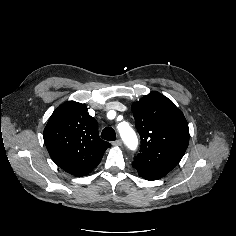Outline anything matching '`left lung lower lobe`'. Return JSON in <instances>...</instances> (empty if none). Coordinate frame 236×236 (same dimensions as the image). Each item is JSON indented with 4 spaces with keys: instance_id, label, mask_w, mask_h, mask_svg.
Masks as SVG:
<instances>
[{
    "instance_id": "obj_1",
    "label": "left lung lower lobe",
    "mask_w": 236,
    "mask_h": 236,
    "mask_svg": "<svg viewBox=\"0 0 236 236\" xmlns=\"http://www.w3.org/2000/svg\"><path fill=\"white\" fill-rule=\"evenodd\" d=\"M141 177H143L144 179H147V180H155V179H152V178H149V177H146L145 175L141 174V173H138Z\"/></svg>"
}]
</instances>
